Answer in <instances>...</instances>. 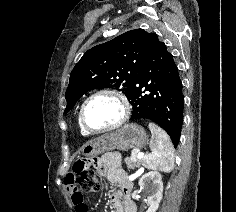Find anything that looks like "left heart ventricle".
Here are the masks:
<instances>
[{
    "label": "left heart ventricle",
    "mask_w": 236,
    "mask_h": 212,
    "mask_svg": "<svg viewBox=\"0 0 236 212\" xmlns=\"http://www.w3.org/2000/svg\"><path fill=\"white\" fill-rule=\"evenodd\" d=\"M120 114L121 107L116 99L110 96H99L86 106L84 119L91 129H100L117 121Z\"/></svg>",
    "instance_id": "b2bd125f"
}]
</instances>
